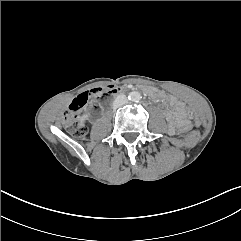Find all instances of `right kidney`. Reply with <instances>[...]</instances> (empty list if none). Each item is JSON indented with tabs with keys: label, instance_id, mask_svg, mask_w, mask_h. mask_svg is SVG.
I'll return each instance as SVG.
<instances>
[{
	"label": "right kidney",
	"instance_id": "obj_1",
	"mask_svg": "<svg viewBox=\"0 0 241 241\" xmlns=\"http://www.w3.org/2000/svg\"><path fill=\"white\" fill-rule=\"evenodd\" d=\"M88 115L83 114L79 119V127H83L85 125V121L87 120Z\"/></svg>",
	"mask_w": 241,
	"mask_h": 241
}]
</instances>
